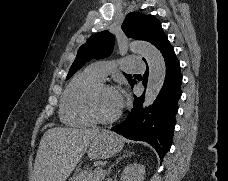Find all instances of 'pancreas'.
I'll return each mask as SVG.
<instances>
[{"mask_svg":"<svg viewBox=\"0 0 228 181\" xmlns=\"http://www.w3.org/2000/svg\"><path fill=\"white\" fill-rule=\"evenodd\" d=\"M102 175L99 171H78L71 181H101Z\"/></svg>","mask_w":228,"mask_h":181,"instance_id":"cf45deb5","label":"pancreas"}]
</instances>
